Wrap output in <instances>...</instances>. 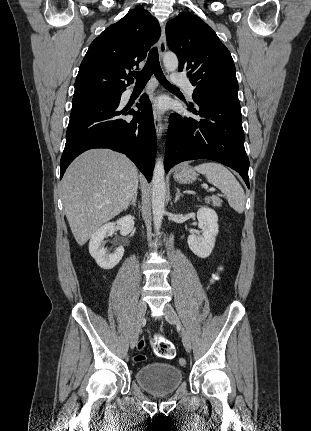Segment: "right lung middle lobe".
Returning a JSON list of instances; mask_svg holds the SVG:
<instances>
[{"mask_svg":"<svg viewBox=\"0 0 311 431\" xmlns=\"http://www.w3.org/2000/svg\"><path fill=\"white\" fill-rule=\"evenodd\" d=\"M121 94L122 93H91V94L74 95L72 104H77L85 101H93V100L120 101Z\"/></svg>","mask_w":311,"mask_h":431,"instance_id":"obj_1","label":"right lung middle lobe"}]
</instances>
